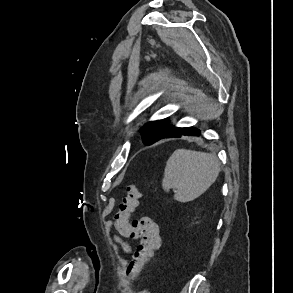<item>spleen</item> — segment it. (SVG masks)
I'll return each mask as SVG.
<instances>
[{
    "label": "spleen",
    "mask_w": 293,
    "mask_h": 293,
    "mask_svg": "<svg viewBox=\"0 0 293 293\" xmlns=\"http://www.w3.org/2000/svg\"><path fill=\"white\" fill-rule=\"evenodd\" d=\"M220 163L214 153L177 149L168 159L162 188L176 189L174 199L185 203L202 195L216 180Z\"/></svg>",
    "instance_id": "1"
}]
</instances>
